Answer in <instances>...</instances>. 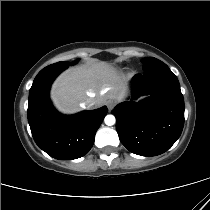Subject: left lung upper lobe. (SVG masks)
Listing matches in <instances>:
<instances>
[{
	"label": "left lung upper lobe",
	"mask_w": 210,
	"mask_h": 210,
	"mask_svg": "<svg viewBox=\"0 0 210 210\" xmlns=\"http://www.w3.org/2000/svg\"><path fill=\"white\" fill-rule=\"evenodd\" d=\"M141 62L143 63V70H148L158 64H161L163 63L162 61L156 59V58H153V57H147V58H144L141 60Z\"/></svg>",
	"instance_id": "obj_1"
}]
</instances>
